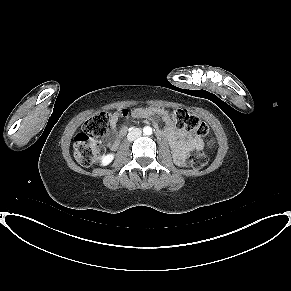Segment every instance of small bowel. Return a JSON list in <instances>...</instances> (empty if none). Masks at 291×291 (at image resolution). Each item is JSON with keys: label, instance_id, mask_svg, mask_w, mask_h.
Returning a JSON list of instances; mask_svg holds the SVG:
<instances>
[{"label": "small bowel", "instance_id": "obj_1", "mask_svg": "<svg viewBox=\"0 0 291 291\" xmlns=\"http://www.w3.org/2000/svg\"><path fill=\"white\" fill-rule=\"evenodd\" d=\"M121 116L122 113L120 111L113 113L110 120L111 130L105 136V141L111 150H115L118 147L121 138L127 131L126 126L119 125ZM131 116L136 119L151 116L162 119L165 125L163 128H158L157 133L169 142L177 160H180L188 151L200 150L203 147V141L200 137L193 136L189 132L179 129L170 118L169 113L163 108L150 106L135 109L131 112Z\"/></svg>", "mask_w": 291, "mask_h": 291}]
</instances>
